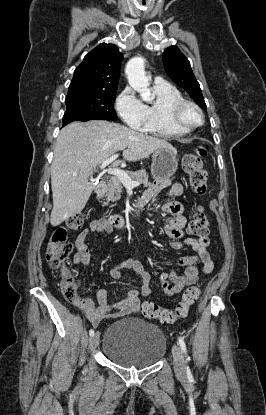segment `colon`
<instances>
[{
	"mask_svg": "<svg viewBox=\"0 0 266 415\" xmlns=\"http://www.w3.org/2000/svg\"><path fill=\"white\" fill-rule=\"evenodd\" d=\"M207 155L205 147L199 146L193 152L188 153L182 160L184 172L189 177L193 190L199 194H205L207 190V172L203 169V159ZM84 217L82 214L71 216L66 227L57 228L46 248V259L49 265L59 270L62 276L61 290L63 296L70 302L78 297V283L76 276L67 266V260L72 252V244L67 239V229L78 230L82 227ZM188 232L199 238H206L209 234V223L202 208H198L188 224ZM201 293L199 284L189 287L182 295L174 309L162 308L156 303L145 302L140 310L143 316L158 319L165 324H171L188 315L190 307L197 301Z\"/></svg>",
	"mask_w": 266,
	"mask_h": 415,
	"instance_id": "5ec220e1",
	"label": "colon"
}]
</instances>
